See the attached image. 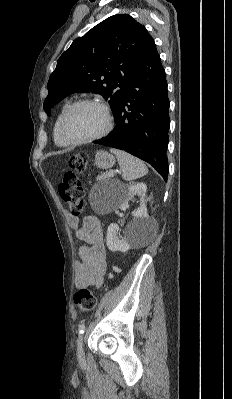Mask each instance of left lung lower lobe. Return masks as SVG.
<instances>
[{
	"mask_svg": "<svg viewBox=\"0 0 232 399\" xmlns=\"http://www.w3.org/2000/svg\"><path fill=\"white\" fill-rule=\"evenodd\" d=\"M169 99L165 70L154 40L146 46L116 112L115 127L96 144L124 150L168 177Z\"/></svg>",
	"mask_w": 232,
	"mask_h": 399,
	"instance_id": "0a47b994",
	"label": "left lung lower lobe"
}]
</instances>
